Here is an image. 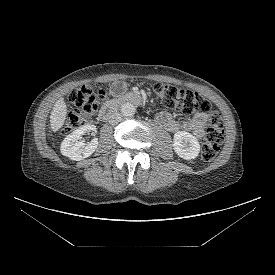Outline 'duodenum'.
I'll use <instances>...</instances> for the list:
<instances>
[{"label": "duodenum", "instance_id": "410a0bca", "mask_svg": "<svg viewBox=\"0 0 275 275\" xmlns=\"http://www.w3.org/2000/svg\"><path fill=\"white\" fill-rule=\"evenodd\" d=\"M125 103L141 105L142 98L138 93L128 92L108 101L99 112V120L102 122L107 121L116 112L119 106Z\"/></svg>", "mask_w": 275, "mask_h": 275}]
</instances>
